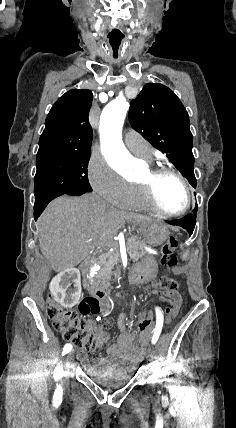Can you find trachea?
Returning <instances> with one entry per match:
<instances>
[{
	"label": "trachea",
	"instance_id": "trachea-1",
	"mask_svg": "<svg viewBox=\"0 0 236 428\" xmlns=\"http://www.w3.org/2000/svg\"><path fill=\"white\" fill-rule=\"evenodd\" d=\"M121 29L118 27H112L110 29V33L107 35V40L109 42L110 53H111V59L112 60H119L120 59V51L122 50L123 41L125 39V36L123 33H121Z\"/></svg>",
	"mask_w": 236,
	"mask_h": 428
}]
</instances>
